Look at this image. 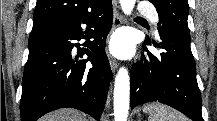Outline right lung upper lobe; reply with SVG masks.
Returning <instances> with one entry per match:
<instances>
[{
  "mask_svg": "<svg viewBox=\"0 0 217 121\" xmlns=\"http://www.w3.org/2000/svg\"><path fill=\"white\" fill-rule=\"evenodd\" d=\"M102 0H37L33 24L75 18L94 9Z\"/></svg>",
  "mask_w": 217,
  "mask_h": 121,
  "instance_id": "1",
  "label": "right lung upper lobe"
}]
</instances>
